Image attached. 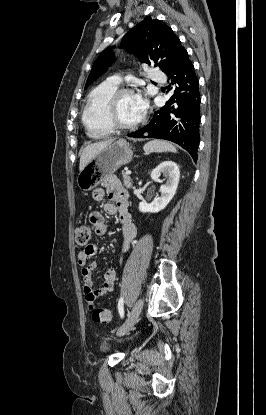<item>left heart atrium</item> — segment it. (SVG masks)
<instances>
[{
  "label": "left heart atrium",
  "mask_w": 266,
  "mask_h": 415,
  "mask_svg": "<svg viewBox=\"0 0 266 415\" xmlns=\"http://www.w3.org/2000/svg\"><path fill=\"white\" fill-rule=\"evenodd\" d=\"M137 108L143 113L146 108V102L140 94L133 95Z\"/></svg>",
  "instance_id": "obj_1"
}]
</instances>
